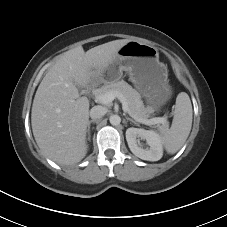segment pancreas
<instances>
[{
    "instance_id": "pancreas-1",
    "label": "pancreas",
    "mask_w": 227,
    "mask_h": 227,
    "mask_svg": "<svg viewBox=\"0 0 227 227\" xmlns=\"http://www.w3.org/2000/svg\"><path fill=\"white\" fill-rule=\"evenodd\" d=\"M108 92H115L122 95L128 104V113L133 117L147 119L150 114L154 112L152 107L144 106L140 94L124 80L105 84L101 88L96 89L94 95L97 97ZM168 125V122L165 121L162 125L158 124L157 127L160 131H165L168 128Z\"/></svg>"
}]
</instances>
